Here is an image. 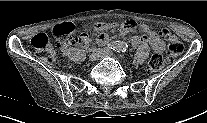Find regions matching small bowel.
Instances as JSON below:
<instances>
[{"label": "small bowel", "instance_id": "obj_1", "mask_svg": "<svg viewBox=\"0 0 207 123\" xmlns=\"http://www.w3.org/2000/svg\"><path fill=\"white\" fill-rule=\"evenodd\" d=\"M116 25L113 23H96L93 25V30L97 32H101L98 35L97 41L101 44H105L108 41V36L103 33L104 31L110 30L114 28ZM138 27V29L143 32V36H133L131 38V44L136 47L139 45H145L149 44L154 52L161 53L164 50L165 44L164 41L160 38L158 33L151 30L148 25L146 24H140L138 25V22L136 20H129L126 21L121 26V32L122 34H126L128 32H131L135 30ZM79 41L86 42L87 41V34L84 32L80 35L79 38L76 39L75 42L69 43V44H62L61 49L62 51H66L68 47L71 44L77 43Z\"/></svg>", "mask_w": 207, "mask_h": 123}]
</instances>
